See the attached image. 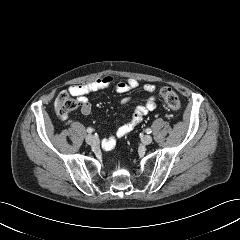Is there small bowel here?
Listing matches in <instances>:
<instances>
[{
	"instance_id": "small-bowel-1",
	"label": "small bowel",
	"mask_w": 240,
	"mask_h": 240,
	"mask_svg": "<svg viewBox=\"0 0 240 240\" xmlns=\"http://www.w3.org/2000/svg\"><path fill=\"white\" fill-rule=\"evenodd\" d=\"M137 87L138 82L135 79L116 81V79L112 76H104L84 84L70 86L68 88V92L78 98L81 113L88 115L92 110L91 103L87 98L89 94L108 88H114L118 93H126L135 90ZM143 89L146 94L150 95V97L144 105L138 106L134 110L128 122L121 125L113 135H111L103 142V146L106 149L113 148L116 139L129 134L136 126L142 122L144 116L156 107V99L154 96L156 87L152 84H146L144 85ZM130 100L131 99L129 97H125L122 99L121 103L123 105H126L130 102Z\"/></svg>"
}]
</instances>
